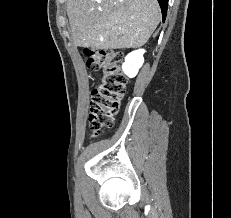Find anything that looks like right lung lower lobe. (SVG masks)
<instances>
[{"label": "right lung lower lobe", "instance_id": "right-lung-lower-lobe-1", "mask_svg": "<svg viewBox=\"0 0 231 218\" xmlns=\"http://www.w3.org/2000/svg\"><path fill=\"white\" fill-rule=\"evenodd\" d=\"M159 5L161 7V11H162V17H163V21L166 18V14H167V6H168V0H158Z\"/></svg>", "mask_w": 231, "mask_h": 218}]
</instances>
